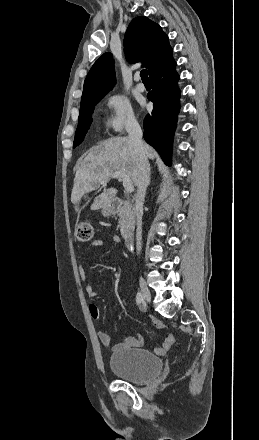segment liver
<instances>
[{"mask_svg": "<svg viewBox=\"0 0 259 440\" xmlns=\"http://www.w3.org/2000/svg\"><path fill=\"white\" fill-rule=\"evenodd\" d=\"M147 160L156 157L155 151L147 144ZM139 154L128 137H112L90 150L76 171L71 193L74 205L93 190L99 188L102 181H109L114 172L126 173L137 186L139 174ZM117 190L113 187L104 190L95 198L91 210H98L114 201Z\"/></svg>", "mask_w": 259, "mask_h": 440, "instance_id": "liver-1", "label": "liver"}]
</instances>
